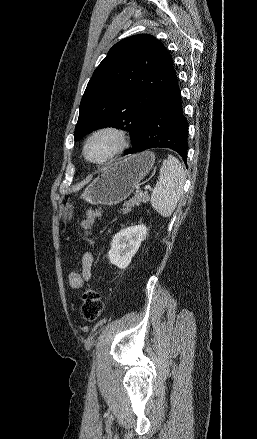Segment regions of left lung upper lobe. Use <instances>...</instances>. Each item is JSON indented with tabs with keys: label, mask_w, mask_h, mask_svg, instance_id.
I'll return each instance as SVG.
<instances>
[{
	"label": "left lung upper lobe",
	"mask_w": 257,
	"mask_h": 439,
	"mask_svg": "<svg viewBox=\"0 0 257 439\" xmlns=\"http://www.w3.org/2000/svg\"><path fill=\"white\" fill-rule=\"evenodd\" d=\"M174 74L171 55L152 35L116 43L84 92L75 140L99 128L116 127L129 131L135 147L144 115Z\"/></svg>",
	"instance_id": "1"
}]
</instances>
